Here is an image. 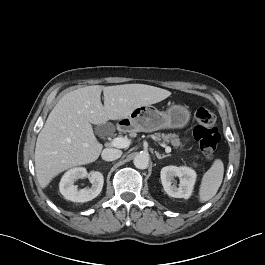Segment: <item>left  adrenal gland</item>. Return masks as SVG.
I'll return each instance as SVG.
<instances>
[{
    "instance_id": "obj_1",
    "label": "left adrenal gland",
    "mask_w": 265,
    "mask_h": 265,
    "mask_svg": "<svg viewBox=\"0 0 265 265\" xmlns=\"http://www.w3.org/2000/svg\"><path fill=\"white\" fill-rule=\"evenodd\" d=\"M155 154H156V156H157L158 159H163V158H165V157H169V156H170V154H167V155L163 154V155H161V154H160L159 152H157V151H155Z\"/></svg>"
}]
</instances>
